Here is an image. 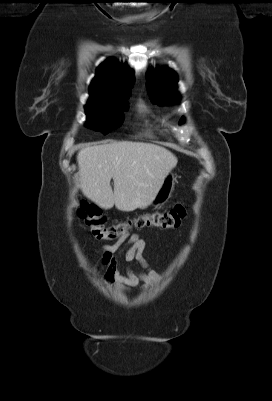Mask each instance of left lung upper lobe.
<instances>
[{"instance_id":"obj_1","label":"left lung upper lobe","mask_w":272,"mask_h":401,"mask_svg":"<svg viewBox=\"0 0 272 401\" xmlns=\"http://www.w3.org/2000/svg\"><path fill=\"white\" fill-rule=\"evenodd\" d=\"M146 86L153 103L164 104L176 101L179 97L177 88V75L169 68L158 72L152 70L146 74ZM182 118L180 122H183Z\"/></svg>"}]
</instances>
